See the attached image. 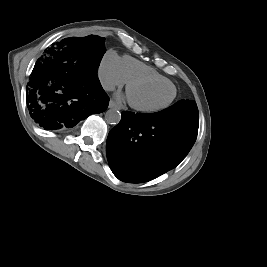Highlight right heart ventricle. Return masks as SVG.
Masks as SVG:
<instances>
[{
  "mask_svg": "<svg viewBox=\"0 0 267 267\" xmlns=\"http://www.w3.org/2000/svg\"><path fill=\"white\" fill-rule=\"evenodd\" d=\"M121 66L126 81L135 78H154L160 81L170 82L168 78L157 72L154 68L130 56H124L121 59Z\"/></svg>",
  "mask_w": 267,
  "mask_h": 267,
  "instance_id": "obj_1",
  "label": "right heart ventricle"
}]
</instances>
